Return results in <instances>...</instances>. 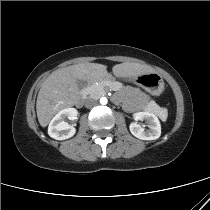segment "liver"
<instances>
[{
    "label": "liver",
    "mask_w": 210,
    "mask_h": 210,
    "mask_svg": "<svg viewBox=\"0 0 210 210\" xmlns=\"http://www.w3.org/2000/svg\"><path fill=\"white\" fill-rule=\"evenodd\" d=\"M112 72L116 77L127 78L154 71L148 65L124 62L114 65ZM109 77L106 65L88 62L52 72L42 83L37 96L36 112L40 125L46 127L55 114L78 103L80 89L77 80L93 84Z\"/></svg>",
    "instance_id": "1"
}]
</instances>
